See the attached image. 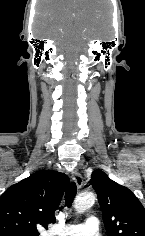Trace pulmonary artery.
Listing matches in <instances>:
<instances>
[{
	"instance_id": "e3ab8cb5",
	"label": "pulmonary artery",
	"mask_w": 145,
	"mask_h": 236,
	"mask_svg": "<svg viewBox=\"0 0 145 236\" xmlns=\"http://www.w3.org/2000/svg\"><path fill=\"white\" fill-rule=\"evenodd\" d=\"M99 222L89 217L84 224H68L48 230V236H98Z\"/></svg>"
}]
</instances>
